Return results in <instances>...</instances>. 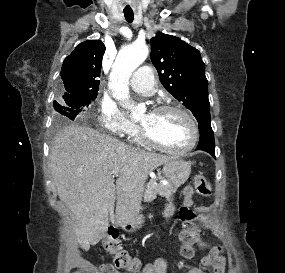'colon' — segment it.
<instances>
[{"label":"colon","mask_w":285,"mask_h":273,"mask_svg":"<svg viewBox=\"0 0 285 273\" xmlns=\"http://www.w3.org/2000/svg\"><path fill=\"white\" fill-rule=\"evenodd\" d=\"M197 193L204 197L211 196V187L202 175L194 177L193 187L189 186L182 197L183 207L178 208L179 219L184 230L180 234L181 254L186 259H191L195 255V244L198 242L199 233L194 225L197 215L194 210L193 194ZM105 250L112 255L113 265L101 266V273H118V270L135 273L140 269L138 259L131 256L128 250L124 249L119 238V233L115 229H110L103 242Z\"/></svg>","instance_id":"obj_1"}]
</instances>
